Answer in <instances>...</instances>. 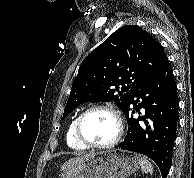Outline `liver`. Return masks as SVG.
Instances as JSON below:
<instances>
[{"instance_id":"1","label":"liver","mask_w":194,"mask_h":178,"mask_svg":"<svg viewBox=\"0 0 194 178\" xmlns=\"http://www.w3.org/2000/svg\"><path fill=\"white\" fill-rule=\"evenodd\" d=\"M91 155H92V153H89V154H85V155H83L81 157L72 158V159L68 160L67 162H65L62 165L61 170H66L68 168H71L74 165H77V164L81 163L82 161H84L85 159H87L88 157H90Z\"/></svg>"}]
</instances>
